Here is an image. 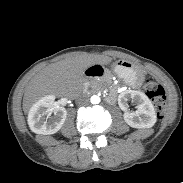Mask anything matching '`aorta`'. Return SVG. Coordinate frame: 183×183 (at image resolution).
Listing matches in <instances>:
<instances>
[{
	"instance_id": "obj_1",
	"label": "aorta",
	"mask_w": 183,
	"mask_h": 183,
	"mask_svg": "<svg viewBox=\"0 0 183 183\" xmlns=\"http://www.w3.org/2000/svg\"><path fill=\"white\" fill-rule=\"evenodd\" d=\"M90 101L92 104H99L100 103V97L97 95H93L90 98Z\"/></svg>"
}]
</instances>
